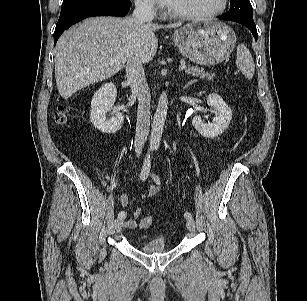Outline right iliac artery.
Returning <instances> with one entry per match:
<instances>
[{
  "instance_id": "right-iliac-artery-1",
  "label": "right iliac artery",
  "mask_w": 307,
  "mask_h": 301,
  "mask_svg": "<svg viewBox=\"0 0 307 301\" xmlns=\"http://www.w3.org/2000/svg\"><path fill=\"white\" fill-rule=\"evenodd\" d=\"M152 148L149 149L148 153L146 154V157L144 159V163H143V166H142V170H141V173H140V179L141 180H145L148 176V173L150 171V166H151V152ZM126 217V213L124 211H121L119 214H118V218H121V219H124Z\"/></svg>"
}]
</instances>
